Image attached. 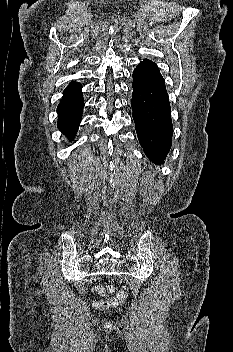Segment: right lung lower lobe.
<instances>
[{
  "label": "right lung lower lobe",
  "mask_w": 233,
  "mask_h": 352,
  "mask_svg": "<svg viewBox=\"0 0 233 352\" xmlns=\"http://www.w3.org/2000/svg\"><path fill=\"white\" fill-rule=\"evenodd\" d=\"M84 100L81 85L71 82L64 90L57 107L58 128L68 137H74L82 118Z\"/></svg>",
  "instance_id": "98d812e1"
}]
</instances>
